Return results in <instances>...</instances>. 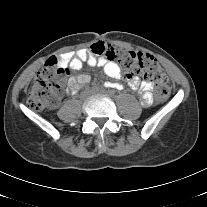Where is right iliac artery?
Returning <instances> with one entry per match:
<instances>
[{
  "label": "right iliac artery",
  "instance_id": "obj_1",
  "mask_svg": "<svg viewBox=\"0 0 207 207\" xmlns=\"http://www.w3.org/2000/svg\"><path fill=\"white\" fill-rule=\"evenodd\" d=\"M104 85H105L106 87H111V84H110L109 82H106Z\"/></svg>",
  "mask_w": 207,
  "mask_h": 207
}]
</instances>
